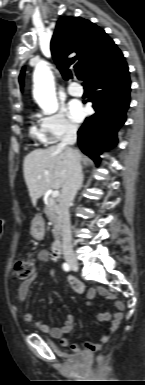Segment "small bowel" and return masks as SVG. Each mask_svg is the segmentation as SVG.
<instances>
[{"label":"small bowel","instance_id":"c3829d8e","mask_svg":"<svg viewBox=\"0 0 145 385\" xmlns=\"http://www.w3.org/2000/svg\"><path fill=\"white\" fill-rule=\"evenodd\" d=\"M52 253L49 250H40L37 254V259L40 264H46L48 263L52 258ZM39 274V271H36L34 275L25 282H22L18 287V300L19 302H24L28 296L31 283L35 277H37ZM53 279L55 282H57L55 272H51ZM68 281L71 284L73 290L80 294H85L87 298V306L90 305V301L96 296L100 295L103 298L115 300V308L116 311L114 313L109 312H100L95 315L96 319L101 322H110V326L108 331L101 337L99 342L97 344H91L87 343L88 345H93L96 349L100 348L103 344H105L111 337L112 332L116 329L118 324L120 323L123 313L122 311L125 308L124 302L122 300L117 299L116 295L112 292H110L106 288H99V289H86V286L80 282L78 279H76L74 276H68ZM75 315L74 314H68L66 317V320L62 327L59 328H53L49 325L39 322L36 320V318L30 313L25 312L24 313V320L30 323H34L37 325L40 331L44 333H48L51 337L60 339L61 344L63 346H67L69 344L68 340L64 338L66 334L71 332L73 329L74 323H75ZM71 349L75 352H78L80 350L79 346L76 344H73L71 346Z\"/></svg>","mask_w":145,"mask_h":385}]
</instances>
